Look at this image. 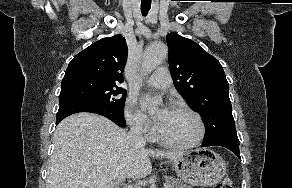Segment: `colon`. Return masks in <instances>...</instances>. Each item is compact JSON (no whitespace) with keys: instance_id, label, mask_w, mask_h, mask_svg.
<instances>
[{"instance_id":"colon-1","label":"colon","mask_w":292,"mask_h":188,"mask_svg":"<svg viewBox=\"0 0 292 188\" xmlns=\"http://www.w3.org/2000/svg\"><path fill=\"white\" fill-rule=\"evenodd\" d=\"M214 188H232V184L230 179L225 178L223 180H221L220 182H218Z\"/></svg>"}]
</instances>
